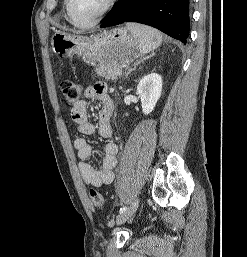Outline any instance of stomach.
<instances>
[{
  "instance_id": "stomach-1",
  "label": "stomach",
  "mask_w": 247,
  "mask_h": 257,
  "mask_svg": "<svg viewBox=\"0 0 247 257\" xmlns=\"http://www.w3.org/2000/svg\"><path fill=\"white\" fill-rule=\"evenodd\" d=\"M54 53L62 57L80 55L92 65L117 63L126 66L139 54L136 52V39L125 27L114 28L90 37L73 36L65 32H56L52 37Z\"/></svg>"
}]
</instances>
